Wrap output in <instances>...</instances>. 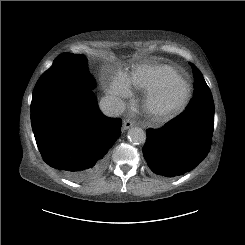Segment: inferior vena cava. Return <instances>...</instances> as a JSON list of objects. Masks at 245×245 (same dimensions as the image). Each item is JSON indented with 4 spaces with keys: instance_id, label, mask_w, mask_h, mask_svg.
Listing matches in <instances>:
<instances>
[{
    "instance_id": "1",
    "label": "inferior vena cava",
    "mask_w": 245,
    "mask_h": 245,
    "mask_svg": "<svg viewBox=\"0 0 245 245\" xmlns=\"http://www.w3.org/2000/svg\"><path fill=\"white\" fill-rule=\"evenodd\" d=\"M99 105L102 112L109 117L120 116L126 108L125 103L120 98L114 96L103 97Z\"/></svg>"
}]
</instances>
